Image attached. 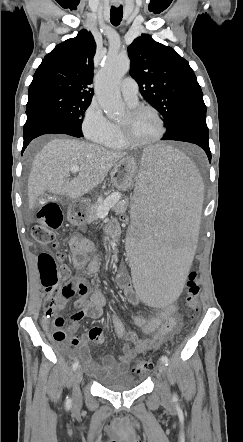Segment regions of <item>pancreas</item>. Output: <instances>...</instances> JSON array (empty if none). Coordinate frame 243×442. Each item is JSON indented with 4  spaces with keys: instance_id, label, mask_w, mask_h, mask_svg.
<instances>
[{
    "instance_id": "pancreas-1",
    "label": "pancreas",
    "mask_w": 243,
    "mask_h": 442,
    "mask_svg": "<svg viewBox=\"0 0 243 442\" xmlns=\"http://www.w3.org/2000/svg\"><path fill=\"white\" fill-rule=\"evenodd\" d=\"M110 197H111V195L109 197H107L105 200H103L102 202L98 201L95 204L91 205V207L88 209V212H87L88 223L94 222L95 220L98 219V216H97L98 208ZM127 206H128L127 202H119L118 201L113 206V210L117 215L123 214L127 210Z\"/></svg>"
}]
</instances>
